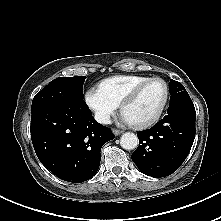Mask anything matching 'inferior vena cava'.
Returning <instances> with one entry per match:
<instances>
[{"instance_id":"1","label":"inferior vena cava","mask_w":221,"mask_h":221,"mask_svg":"<svg viewBox=\"0 0 221 221\" xmlns=\"http://www.w3.org/2000/svg\"><path fill=\"white\" fill-rule=\"evenodd\" d=\"M95 120L101 124H110V116L104 112H96L95 113Z\"/></svg>"}]
</instances>
